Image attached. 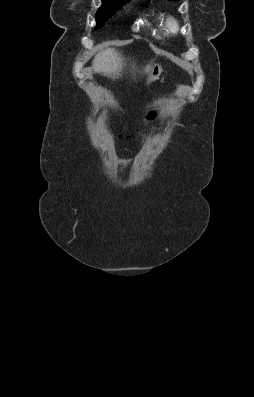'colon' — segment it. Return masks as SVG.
<instances>
[{
    "label": "colon",
    "instance_id": "5ec220e1",
    "mask_svg": "<svg viewBox=\"0 0 254 397\" xmlns=\"http://www.w3.org/2000/svg\"><path fill=\"white\" fill-rule=\"evenodd\" d=\"M154 118H155V113L154 112L149 113L148 116H147V120L148 121H153Z\"/></svg>",
    "mask_w": 254,
    "mask_h": 397
}]
</instances>
